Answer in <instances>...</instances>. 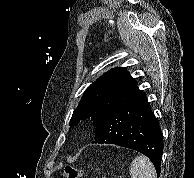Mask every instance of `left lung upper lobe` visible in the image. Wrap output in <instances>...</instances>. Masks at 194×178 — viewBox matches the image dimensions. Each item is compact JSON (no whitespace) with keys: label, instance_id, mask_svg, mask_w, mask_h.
<instances>
[{"label":"left lung upper lobe","instance_id":"left-lung-upper-lobe-1","mask_svg":"<svg viewBox=\"0 0 194 178\" xmlns=\"http://www.w3.org/2000/svg\"><path fill=\"white\" fill-rule=\"evenodd\" d=\"M141 92L137 82L125 68L117 67L104 73L84 92L70 120V127L90 118L96 127L121 101Z\"/></svg>","mask_w":194,"mask_h":178}]
</instances>
